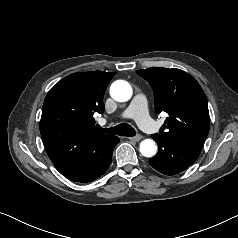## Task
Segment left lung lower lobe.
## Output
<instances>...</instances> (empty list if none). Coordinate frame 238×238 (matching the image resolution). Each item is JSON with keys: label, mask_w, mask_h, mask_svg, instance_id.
<instances>
[{"label": "left lung lower lobe", "mask_w": 238, "mask_h": 238, "mask_svg": "<svg viewBox=\"0 0 238 238\" xmlns=\"http://www.w3.org/2000/svg\"><path fill=\"white\" fill-rule=\"evenodd\" d=\"M153 139L158 143V153L149 160V164L166 175H175L187 169L201 152L199 148L173 140Z\"/></svg>", "instance_id": "0a47b994"}]
</instances>
